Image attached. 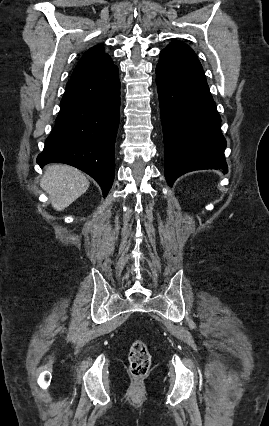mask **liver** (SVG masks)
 Here are the masks:
<instances>
[{"mask_svg": "<svg viewBox=\"0 0 269 426\" xmlns=\"http://www.w3.org/2000/svg\"><path fill=\"white\" fill-rule=\"evenodd\" d=\"M40 186L49 195L53 208L62 211L87 191L89 181L72 166L52 164L45 168Z\"/></svg>", "mask_w": 269, "mask_h": 426, "instance_id": "liver-1", "label": "liver"}]
</instances>
